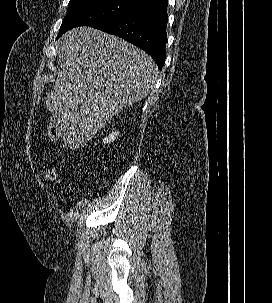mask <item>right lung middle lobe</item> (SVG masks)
Segmentation results:
<instances>
[{
	"instance_id": "obj_1",
	"label": "right lung middle lobe",
	"mask_w": 272,
	"mask_h": 303,
	"mask_svg": "<svg viewBox=\"0 0 272 303\" xmlns=\"http://www.w3.org/2000/svg\"><path fill=\"white\" fill-rule=\"evenodd\" d=\"M138 8L136 3L128 0H70L58 38L74 27L92 26Z\"/></svg>"
}]
</instances>
